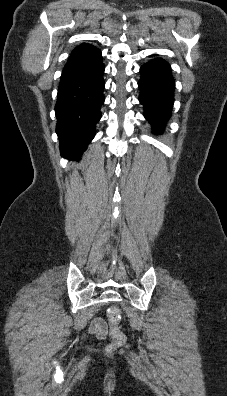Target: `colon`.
<instances>
[{"label":"colon","mask_w":227,"mask_h":396,"mask_svg":"<svg viewBox=\"0 0 227 396\" xmlns=\"http://www.w3.org/2000/svg\"><path fill=\"white\" fill-rule=\"evenodd\" d=\"M108 320L110 324V349L121 347L126 342V335L120 330L121 310L118 306H112L108 310Z\"/></svg>","instance_id":"1"}]
</instances>
